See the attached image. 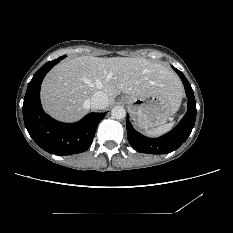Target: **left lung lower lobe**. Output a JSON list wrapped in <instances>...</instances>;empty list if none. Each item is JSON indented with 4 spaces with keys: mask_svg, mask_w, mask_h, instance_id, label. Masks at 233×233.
<instances>
[{
    "mask_svg": "<svg viewBox=\"0 0 233 233\" xmlns=\"http://www.w3.org/2000/svg\"><path fill=\"white\" fill-rule=\"evenodd\" d=\"M180 76L188 98L187 112L179 124L159 138H148L137 132L126 118L127 136L130 145L138 152L147 154H165L178 149L189 137L196 119V102L191 85L181 71L172 66Z\"/></svg>",
    "mask_w": 233,
    "mask_h": 233,
    "instance_id": "0a47b994",
    "label": "left lung lower lobe"
}]
</instances>
